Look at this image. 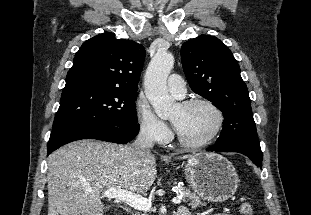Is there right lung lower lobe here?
<instances>
[{"label":"right lung lower lobe","mask_w":311,"mask_h":215,"mask_svg":"<svg viewBox=\"0 0 311 215\" xmlns=\"http://www.w3.org/2000/svg\"><path fill=\"white\" fill-rule=\"evenodd\" d=\"M139 125L131 127L71 125L52 130L47 144V155L57 148L80 139H97L125 144L138 134Z\"/></svg>","instance_id":"1"}]
</instances>
